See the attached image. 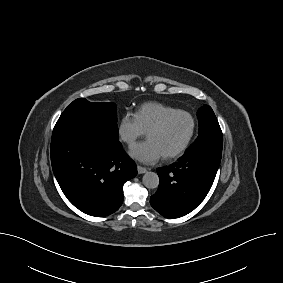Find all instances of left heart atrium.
Masks as SVG:
<instances>
[{
	"label": "left heart atrium",
	"mask_w": 283,
	"mask_h": 283,
	"mask_svg": "<svg viewBox=\"0 0 283 283\" xmlns=\"http://www.w3.org/2000/svg\"><path fill=\"white\" fill-rule=\"evenodd\" d=\"M129 155L133 159L145 164H153L163 156L159 148L150 140L133 146L130 149Z\"/></svg>",
	"instance_id": "left-heart-atrium-1"
}]
</instances>
